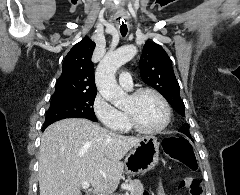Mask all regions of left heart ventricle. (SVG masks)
<instances>
[{
  "label": "left heart ventricle",
  "mask_w": 240,
  "mask_h": 195,
  "mask_svg": "<svg viewBox=\"0 0 240 195\" xmlns=\"http://www.w3.org/2000/svg\"><path fill=\"white\" fill-rule=\"evenodd\" d=\"M125 108H131L139 123L147 128H155L163 121L164 111L159 99L151 94H143L136 102L130 98L127 100Z\"/></svg>",
  "instance_id": "obj_1"
}]
</instances>
